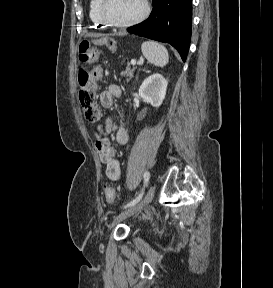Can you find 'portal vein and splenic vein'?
Here are the masks:
<instances>
[{"label":"portal vein and splenic vein","instance_id":"obj_1","mask_svg":"<svg viewBox=\"0 0 273 288\" xmlns=\"http://www.w3.org/2000/svg\"><path fill=\"white\" fill-rule=\"evenodd\" d=\"M131 64L132 65H136V61L135 60H131Z\"/></svg>","mask_w":273,"mask_h":288}]
</instances>
